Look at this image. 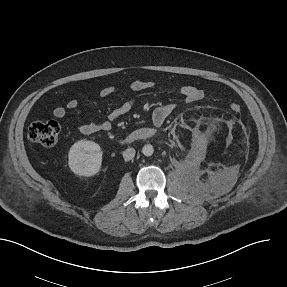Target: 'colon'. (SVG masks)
I'll return each instance as SVG.
<instances>
[{"label": "colon", "instance_id": "1", "mask_svg": "<svg viewBox=\"0 0 287 287\" xmlns=\"http://www.w3.org/2000/svg\"><path fill=\"white\" fill-rule=\"evenodd\" d=\"M229 109L233 113H239L242 105L237 100L229 102ZM60 127L55 121H36L30 124L28 129L29 139L43 147H52L57 143Z\"/></svg>", "mask_w": 287, "mask_h": 287}]
</instances>
